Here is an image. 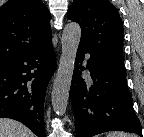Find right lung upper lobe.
I'll return each mask as SVG.
<instances>
[{"instance_id":"cb5924a9","label":"right lung upper lobe","mask_w":144,"mask_h":137,"mask_svg":"<svg viewBox=\"0 0 144 137\" xmlns=\"http://www.w3.org/2000/svg\"><path fill=\"white\" fill-rule=\"evenodd\" d=\"M50 12L41 0H8L0 7V67L51 39Z\"/></svg>"}]
</instances>
